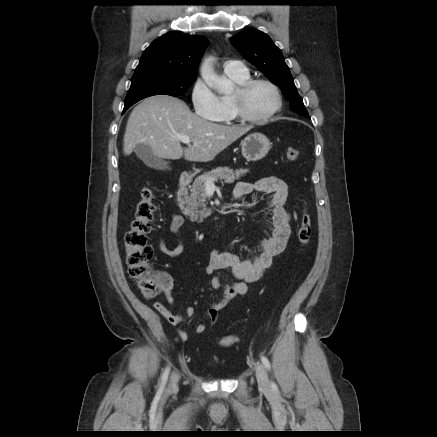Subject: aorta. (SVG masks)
I'll return each instance as SVG.
<instances>
[{"mask_svg":"<svg viewBox=\"0 0 437 437\" xmlns=\"http://www.w3.org/2000/svg\"><path fill=\"white\" fill-rule=\"evenodd\" d=\"M200 74L205 83L212 90L219 94H228L233 91V84L227 78H220L217 76L213 66V58H206L200 69Z\"/></svg>","mask_w":437,"mask_h":437,"instance_id":"1","label":"aorta"}]
</instances>
